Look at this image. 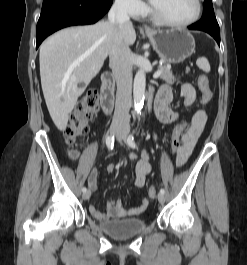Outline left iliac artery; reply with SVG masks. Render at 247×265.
<instances>
[{"instance_id": "1", "label": "left iliac artery", "mask_w": 247, "mask_h": 265, "mask_svg": "<svg viewBox=\"0 0 247 265\" xmlns=\"http://www.w3.org/2000/svg\"><path fill=\"white\" fill-rule=\"evenodd\" d=\"M127 142H128V145H129L130 147H132V148H136V147H137V145H136V143H135V141H134V136H133V134H131V135L128 137ZM160 193L164 194V193H165V190H164L163 188H161V189H160Z\"/></svg>"}]
</instances>
